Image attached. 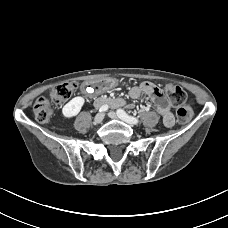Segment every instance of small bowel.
<instances>
[{
	"label": "small bowel",
	"instance_id": "small-bowel-1",
	"mask_svg": "<svg viewBox=\"0 0 228 228\" xmlns=\"http://www.w3.org/2000/svg\"><path fill=\"white\" fill-rule=\"evenodd\" d=\"M115 86L111 80H104L97 83L83 85V92L87 94H98L107 91ZM147 95L153 101L158 113L162 116L163 123L166 127H172L175 118L171 110V104L163 94L162 90L151 82L145 81L130 88L129 96L133 99L139 98L141 95ZM97 106L101 104H96ZM107 105V104H106Z\"/></svg>",
	"mask_w": 228,
	"mask_h": 228
}]
</instances>
